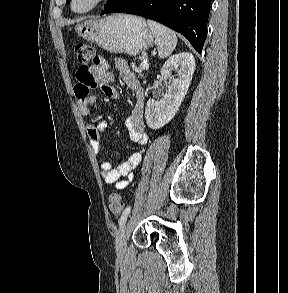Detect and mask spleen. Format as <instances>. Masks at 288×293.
Here are the masks:
<instances>
[{
  "label": "spleen",
  "mask_w": 288,
  "mask_h": 293,
  "mask_svg": "<svg viewBox=\"0 0 288 293\" xmlns=\"http://www.w3.org/2000/svg\"><path fill=\"white\" fill-rule=\"evenodd\" d=\"M147 23L156 39L159 58H166L171 55L177 45L176 34L155 21L148 20Z\"/></svg>",
  "instance_id": "spleen-1"
}]
</instances>
